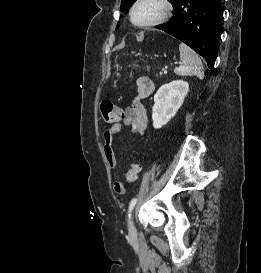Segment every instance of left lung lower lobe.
Segmentation results:
<instances>
[{"instance_id":"1","label":"left lung lower lobe","mask_w":261,"mask_h":273,"mask_svg":"<svg viewBox=\"0 0 261 273\" xmlns=\"http://www.w3.org/2000/svg\"><path fill=\"white\" fill-rule=\"evenodd\" d=\"M173 7L172 20L157 28L181 40L203 56L212 72L218 52L221 0H177Z\"/></svg>"}]
</instances>
